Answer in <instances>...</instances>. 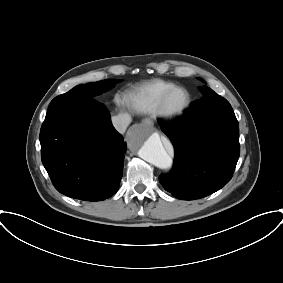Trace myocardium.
I'll use <instances>...</instances> for the list:
<instances>
[{
	"instance_id": "myocardium-1",
	"label": "myocardium",
	"mask_w": 283,
	"mask_h": 283,
	"mask_svg": "<svg viewBox=\"0 0 283 283\" xmlns=\"http://www.w3.org/2000/svg\"><path fill=\"white\" fill-rule=\"evenodd\" d=\"M176 93H183L184 100L179 106H172L170 105V99ZM190 103V93L183 87L174 86L160 97L155 112L165 119L173 120L183 115L189 108Z\"/></svg>"
}]
</instances>
